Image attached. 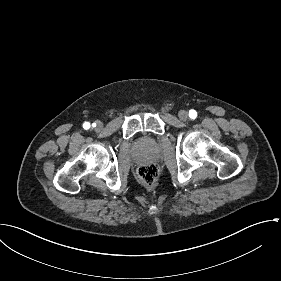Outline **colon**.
I'll return each instance as SVG.
<instances>
[{
    "instance_id": "5ec220e1",
    "label": "colon",
    "mask_w": 281,
    "mask_h": 281,
    "mask_svg": "<svg viewBox=\"0 0 281 281\" xmlns=\"http://www.w3.org/2000/svg\"><path fill=\"white\" fill-rule=\"evenodd\" d=\"M137 174L141 182L148 187L155 185L158 179V169L153 163L140 166Z\"/></svg>"
}]
</instances>
